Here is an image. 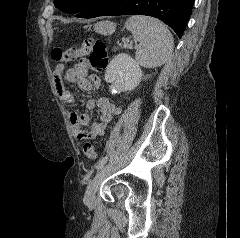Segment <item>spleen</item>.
<instances>
[{"instance_id":"1","label":"spleen","mask_w":240,"mask_h":238,"mask_svg":"<svg viewBox=\"0 0 240 238\" xmlns=\"http://www.w3.org/2000/svg\"><path fill=\"white\" fill-rule=\"evenodd\" d=\"M125 27L135 41L137 63L145 68H155L163 65L173 52V36L167 27L159 20L132 16L127 19Z\"/></svg>"}]
</instances>
